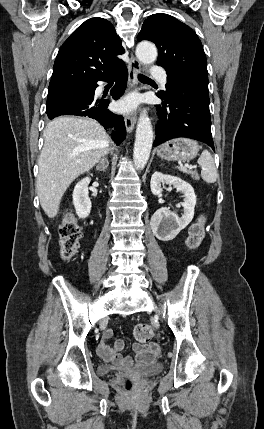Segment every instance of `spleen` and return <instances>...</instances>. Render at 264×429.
<instances>
[{"instance_id":"3e777b00","label":"spleen","mask_w":264,"mask_h":429,"mask_svg":"<svg viewBox=\"0 0 264 429\" xmlns=\"http://www.w3.org/2000/svg\"><path fill=\"white\" fill-rule=\"evenodd\" d=\"M197 162L201 166L202 179L207 183H214L218 178V172L210 152L203 150ZM178 169L184 173H188L187 169L182 166L178 167Z\"/></svg>"}]
</instances>
